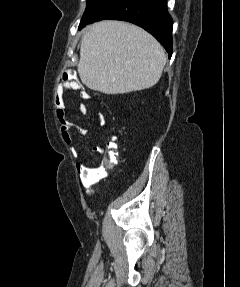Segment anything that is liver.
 <instances>
[{
    "label": "liver",
    "instance_id": "obj_1",
    "mask_svg": "<svg viewBox=\"0 0 240 287\" xmlns=\"http://www.w3.org/2000/svg\"><path fill=\"white\" fill-rule=\"evenodd\" d=\"M166 56L142 28L122 21H101L86 28L77 71L84 85L105 94H124L154 86Z\"/></svg>",
    "mask_w": 240,
    "mask_h": 287
}]
</instances>
